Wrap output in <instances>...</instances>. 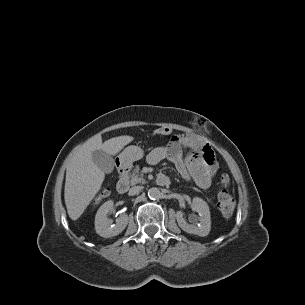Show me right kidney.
<instances>
[{"label":"right kidney","instance_id":"obj_1","mask_svg":"<svg viewBox=\"0 0 305 305\" xmlns=\"http://www.w3.org/2000/svg\"><path fill=\"white\" fill-rule=\"evenodd\" d=\"M114 202L109 200L98 209L95 216V230L98 235L104 238H110L119 235L128 224V215L121 214L116 219V224L107 218L108 213L113 210Z\"/></svg>","mask_w":305,"mask_h":305}]
</instances>
